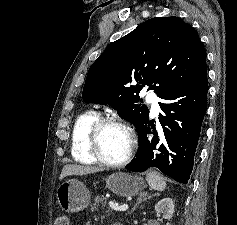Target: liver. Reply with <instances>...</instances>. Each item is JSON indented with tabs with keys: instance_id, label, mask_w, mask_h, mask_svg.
<instances>
[{
	"instance_id": "6515ba94",
	"label": "liver",
	"mask_w": 237,
	"mask_h": 225,
	"mask_svg": "<svg viewBox=\"0 0 237 225\" xmlns=\"http://www.w3.org/2000/svg\"><path fill=\"white\" fill-rule=\"evenodd\" d=\"M102 171L101 168L98 167H90V166H81V165H65L60 174V180L64 179L66 176H81L91 173H96Z\"/></svg>"
}]
</instances>
